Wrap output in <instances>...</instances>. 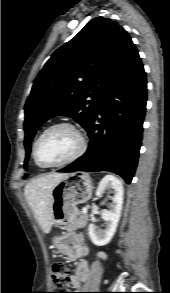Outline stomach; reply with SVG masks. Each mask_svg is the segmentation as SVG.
I'll use <instances>...</instances> for the list:
<instances>
[{"label": "stomach", "mask_w": 170, "mask_h": 293, "mask_svg": "<svg viewBox=\"0 0 170 293\" xmlns=\"http://www.w3.org/2000/svg\"><path fill=\"white\" fill-rule=\"evenodd\" d=\"M92 182L88 174L74 172L67 174L52 191L53 223L69 224L79 213L77 206L89 200ZM54 244L65 250V237H55Z\"/></svg>", "instance_id": "0dacf381"}]
</instances>
